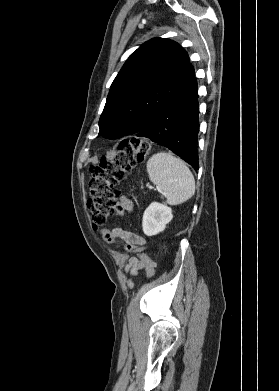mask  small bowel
<instances>
[{
    "label": "small bowel",
    "mask_w": 279,
    "mask_h": 391,
    "mask_svg": "<svg viewBox=\"0 0 279 391\" xmlns=\"http://www.w3.org/2000/svg\"><path fill=\"white\" fill-rule=\"evenodd\" d=\"M121 206L123 209H125L128 212L132 211L133 205L132 202L123 197L121 199ZM110 231L115 238H119L123 240L124 243H131L137 247L144 246L146 244V241L143 237L139 236L138 234H135L133 232H129L126 230H123L119 227L113 228ZM117 247H120V244H116ZM125 248V245H124ZM126 249V248H125ZM146 267L145 263L137 257H133L130 259L129 264L127 265L126 269L129 271L132 275H136L137 271Z\"/></svg>",
    "instance_id": "c3829d8e"
}]
</instances>
